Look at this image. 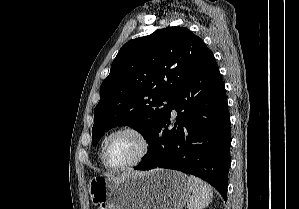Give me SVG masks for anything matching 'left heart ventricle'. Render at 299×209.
<instances>
[{
	"label": "left heart ventricle",
	"mask_w": 299,
	"mask_h": 209,
	"mask_svg": "<svg viewBox=\"0 0 299 209\" xmlns=\"http://www.w3.org/2000/svg\"><path fill=\"white\" fill-rule=\"evenodd\" d=\"M141 151L139 139L130 133L115 136L108 147L107 160L113 166H122L132 162Z\"/></svg>",
	"instance_id": "obj_1"
}]
</instances>
